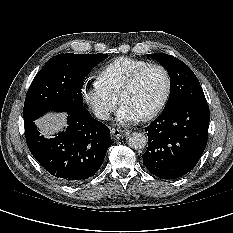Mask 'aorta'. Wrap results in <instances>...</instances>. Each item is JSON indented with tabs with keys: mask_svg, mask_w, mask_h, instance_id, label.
<instances>
[{
	"mask_svg": "<svg viewBox=\"0 0 233 233\" xmlns=\"http://www.w3.org/2000/svg\"><path fill=\"white\" fill-rule=\"evenodd\" d=\"M128 145L132 149H144L147 145V137L140 132H134L128 137Z\"/></svg>",
	"mask_w": 233,
	"mask_h": 233,
	"instance_id": "1",
	"label": "aorta"
}]
</instances>
